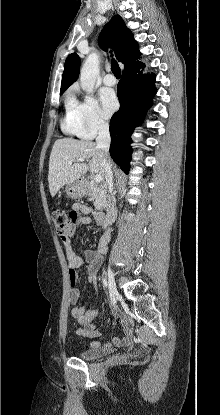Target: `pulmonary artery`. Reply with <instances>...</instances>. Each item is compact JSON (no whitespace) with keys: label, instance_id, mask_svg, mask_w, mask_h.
<instances>
[{"label":"pulmonary artery","instance_id":"1","mask_svg":"<svg viewBox=\"0 0 220 415\" xmlns=\"http://www.w3.org/2000/svg\"><path fill=\"white\" fill-rule=\"evenodd\" d=\"M103 83H104L106 86H114V85H116L117 80H116V78H115V76H114L113 74L108 73V74H106V75L104 76V78H103Z\"/></svg>","mask_w":220,"mask_h":415}]
</instances>
